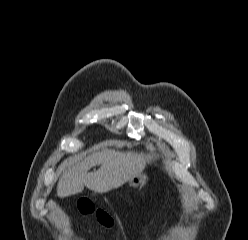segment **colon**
Returning a JSON list of instances; mask_svg holds the SVG:
<instances>
[{
    "label": "colon",
    "instance_id": "colon-1",
    "mask_svg": "<svg viewBox=\"0 0 248 240\" xmlns=\"http://www.w3.org/2000/svg\"><path fill=\"white\" fill-rule=\"evenodd\" d=\"M78 210L83 215H93L104 227H111L114 224L113 217L105 210L96 208L89 200H80L77 204Z\"/></svg>",
    "mask_w": 248,
    "mask_h": 240
}]
</instances>
